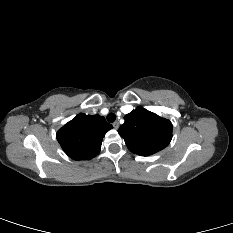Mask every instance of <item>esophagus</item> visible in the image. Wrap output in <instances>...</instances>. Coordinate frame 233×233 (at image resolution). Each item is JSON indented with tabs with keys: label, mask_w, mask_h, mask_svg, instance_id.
I'll use <instances>...</instances> for the list:
<instances>
[{
	"label": "esophagus",
	"mask_w": 233,
	"mask_h": 233,
	"mask_svg": "<svg viewBox=\"0 0 233 233\" xmlns=\"http://www.w3.org/2000/svg\"><path fill=\"white\" fill-rule=\"evenodd\" d=\"M113 127L115 128V129H118L119 128V123L116 121V122H114L113 123Z\"/></svg>",
	"instance_id": "obj_1"
}]
</instances>
